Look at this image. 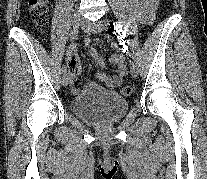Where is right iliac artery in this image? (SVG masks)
Segmentation results:
<instances>
[{"label": "right iliac artery", "instance_id": "obj_1", "mask_svg": "<svg viewBox=\"0 0 207 179\" xmlns=\"http://www.w3.org/2000/svg\"><path fill=\"white\" fill-rule=\"evenodd\" d=\"M77 34H78V30H72L69 34V41H73L76 37H77ZM67 71H66V68L63 67L62 68V73L65 74Z\"/></svg>", "mask_w": 207, "mask_h": 179}]
</instances>
